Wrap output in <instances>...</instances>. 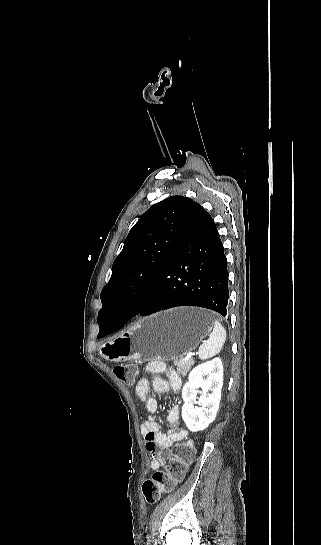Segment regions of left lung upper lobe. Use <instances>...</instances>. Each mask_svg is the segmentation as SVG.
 I'll return each mask as SVG.
<instances>
[{
    "label": "left lung upper lobe",
    "instance_id": "5c2ea615",
    "mask_svg": "<svg viewBox=\"0 0 321 545\" xmlns=\"http://www.w3.org/2000/svg\"><path fill=\"white\" fill-rule=\"evenodd\" d=\"M197 205L190 198L172 196L140 216L101 292L99 334L105 332V321L114 310L133 312L150 297Z\"/></svg>",
    "mask_w": 321,
    "mask_h": 545
}]
</instances>
